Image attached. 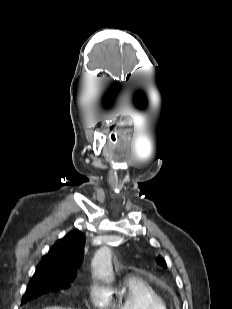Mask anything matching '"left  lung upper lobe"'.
Returning <instances> with one entry per match:
<instances>
[{
	"label": "left lung upper lobe",
	"mask_w": 232,
	"mask_h": 309,
	"mask_svg": "<svg viewBox=\"0 0 232 309\" xmlns=\"http://www.w3.org/2000/svg\"><path fill=\"white\" fill-rule=\"evenodd\" d=\"M158 263L161 264V265H163V266L165 265L164 259H163V258H160V257L158 258Z\"/></svg>",
	"instance_id": "1"
}]
</instances>
